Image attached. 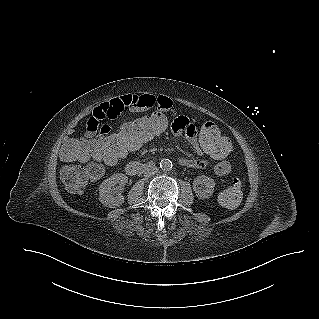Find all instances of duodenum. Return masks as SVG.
<instances>
[{"label": "duodenum", "instance_id": "1", "mask_svg": "<svg viewBox=\"0 0 319 319\" xmlns=\"http://www.w3.org/2000/svg\"><path fill=\"white\" fill-rule=\"evenodd\" d=\"M151 163L129 162L126 165V172L130 176H137L152 168Z\"/></svg>", "mask_w": 319, "mask_h": 319}]
</instances>
